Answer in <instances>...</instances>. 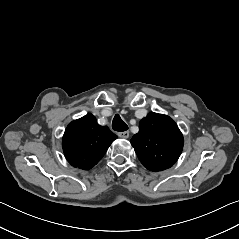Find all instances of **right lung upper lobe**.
<instances>
[{
  "instance_id": "right-lung-upper-lobe-1",
  "label": "right lung upper lobe",
  "mask_w": 239,
  "mask_h": 239,
  "mask_svg": "<svg viewBox=\"0 0 239 239\" xmlns=\"http://www.w3.org/2000/svg\"><path fill=\"white\" fill-rule=\"evenodd\" d=\"M117 138L107 126H100L95 116L87 114L72 121L62 139L64 155L74 167L89 170L105 155Z\"/></svg>"
}]
</instances>
